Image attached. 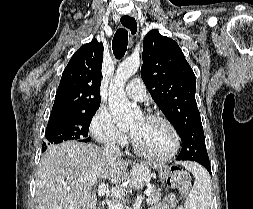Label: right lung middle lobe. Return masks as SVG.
<instances>
[{
  "label": "right lung middle lobe",
  "mask_w": 253,
  "mask_h": 209,
  "mask_svg": "<svg viewBox=\"0 0 253 209\" xmlns=\"http://www.w3.org/2000/svg\"><path fill=\"white\" fill-rule=\"evenodd\" d=\"M98 108L99 106L84 112L50 117L42 150L45 151L47 145L67 140L90 141L91 138L88 136V129L90 121Z\"/></svg>",
  "instance_id": "dd1d6c3e"
}]
</instances>
